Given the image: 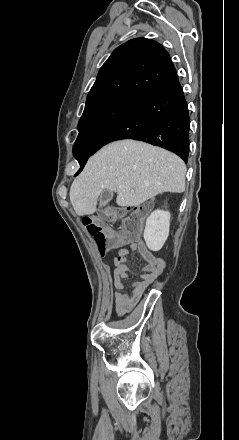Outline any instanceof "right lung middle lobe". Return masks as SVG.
<instances>
[{"instance_id":"obj_1","label":"right lung middle lobe","mask_w":239,"mask_h":440,"mask_svg":"<svg viewBox=\"0 0 239 440\" xmlns=\"http://www.w3.org/2000/svg\"><path fill=\"white\" fill-rule=\"evenodd\" d=\"M133 98L117 96L85 108L78 123L79 134L73 147L74 154L90 152Z\"/></svg>"}]
</instances>
